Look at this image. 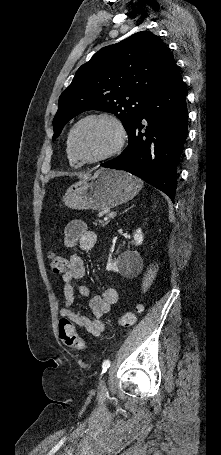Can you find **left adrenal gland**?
<instances>
[{
    "label": "left adrenal gland",
    "instance_id": "left-adrenal-gland-1",
    "mask_svg": "<svg viewBox=\"0 0 221 455\" xmlns=\"http://www.w3.org/2000/svg\"><path fill=\"white\" fill-rule=\"evenodd\" d=\"M132 207H134V205H132L130 208H132ZM130 208H128V209H127V210H125V211H128Z\"/></svg>",
    "mask_w": 221,
    "mask_h": 455
}]
</instances>
